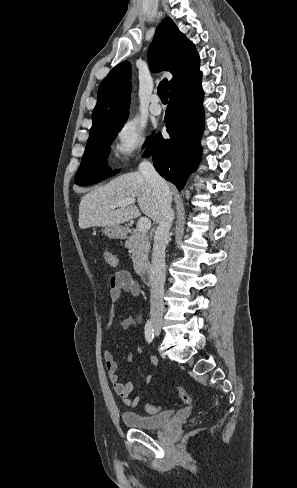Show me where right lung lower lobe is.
<instances>
[{
	"mask_svg": "<svg viewBox=\"0 0 297 488\" xmlns=\"http://www.w3.org/2000/svg\"><path fill=\"white\" fill-rule=\"evenodd\" d=\"M201 75L170 92L165 114L169 139L156 134L144 153L153 157L157 172L181 190L200 160L204 127Z\"/></svg>",
	"mask_w": 297,
	"mask_h": 488,
	"instance_id": "right-lung-lower-lobe-1",
	"label": "right lung lower lobe"
}]
</instances>
